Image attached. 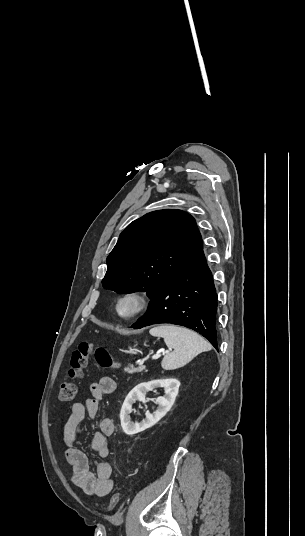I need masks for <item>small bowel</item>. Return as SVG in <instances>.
<instances>
[{
  "mask_svg": "<svg viewBox=\"0 0 305 536\" xmlns=\"http://www.w3.org/2000/svg\"><path fill=\"white\" fill-rule=\"evenodd\" d=\"M115 390L116 382L108 376L92 383L89 386L90 397L73 404L71 413L62 426L65 457L72 468L70 481L86 494L95 497H104L113 488L112 466L106 458L111 453L108 437L114 432V422L110 417H103L100 421V431L92 435L91 447L98 456L95 460V473L90 471L86 454L76 445L77 431L86 414L95 417L101 398Z\"/></svg>",
  "mask_w": 305,
  "mask_h": 536,
  "instance_id": "small-bowel-1",
  "label": "small bowel"
}]
</instances>
